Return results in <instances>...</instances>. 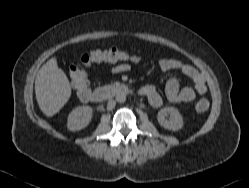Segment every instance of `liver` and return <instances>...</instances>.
Returning <instances> with one entry per match:
<instances>
[{
	"label": "liver",
	"mask_w": 249,
	"mask_h": 188,
	"mask_svg": "<svg viewBox=\"0 0 249 188\" xmlns=\"http://www.w3.org/2000/svg\"><path fill=\"white\" fill-rule=\"evenodd\" d=\"M35 94L41 111L48 117L55 115L68 102L71 86L65 72L57 65V58L49 59L38 71Z\"/></svg>",
	"instance_id": "1"
}]
</instances>
